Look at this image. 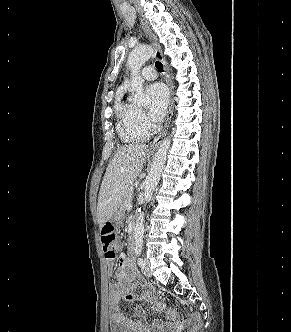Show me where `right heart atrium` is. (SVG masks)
<instances>
[{"mask_svg":"<svg viewBox=\"0 0 291 332\" xmlns=\"http://www.w3.org/2000/svg\"><path fill=\"white\" fill-rule=\"evenodd\" d=\"M137 122H138V125L141 128H143L144 130H149L151 127L147 117L145 116V114L142 111L138 112Z\"/></svg>","mask_w":291,"mask_h":332,"instance_id":"d8ad5b80","label":"right heart atrium"}]
</instances>
